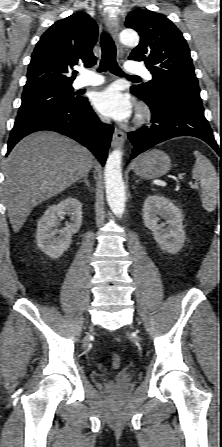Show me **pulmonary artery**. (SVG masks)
<instances>
[{"label":"pulmonary artery","mask_w":222,"mask_h":447,"mask_svg":"<svg viewBox=\"0 0 222 447\" xmlns=\"http://www.w3.org/2000/svg\"><path fill=\"white\" fill-rule=\"evenodd\" d=\"M82 75L73 82V88L96 87L104 82V78L90 70L81 69ZM126 72L130 75H142L151 79L148 69L140 62L129 61L126 65Z\"/></svg>","instance_id":"e3ab8cb5"}]
</instances>
